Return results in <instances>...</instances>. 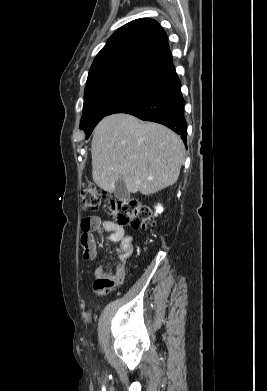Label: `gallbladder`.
I'll list each match as a JSON object with an SVG mask.
<instances>
[{"label":"gallbladder","instance_id":"gallbladder-1","mask_svg":"<svg viewBox=\"0 0 267 391\" xmlns=\"http://www.w3.org/2000/svg\"><path fill=\"white\" fill-rule=\"evenodd\" d=\"M114 194H115L116 198L119 200L126 201L129 199L130 194L128 192V189H127L126 184L123 181V179L120 178L116 182Z\"/></svg>","mask_w":267,"mask_h":391}]
</instances>
